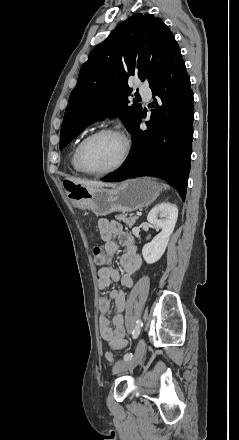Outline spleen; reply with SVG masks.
<instances>
[{
	"mask_svg": "<svg viewBox=\"0 0 239 440\" xmlns=\"http://www.w3.org/2000/svg\"><path fill=\"white\" fill-rule=\"evenodd\" d=\"M165 190H167V188H169V186H167V184H163Z\"/></svg>",
	"mask_w": 239,
	"mask_h": 440,
	"instance_id": "3e777b00",
	"label": "spleen"
}]
</instances>
